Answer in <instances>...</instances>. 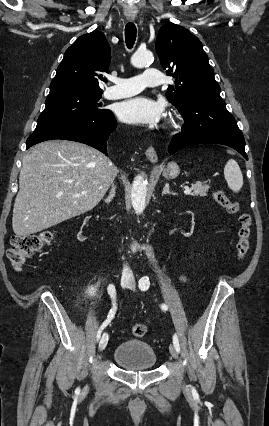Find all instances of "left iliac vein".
<instances>
[{
	"label": "left iliac vein",
	"mask_w": 269,
	"mask_h": 426,
	"mask_svg": "<svg viewBox=\"0 0 269 426\" xmlns=\"http://www.w3.org/2000/svg\"><path fill=\"white\" fill-rule=\"evenodd\" d=\"M129 288H130L131 290H135V289H136V283H135V281H134V280H132V281H131V283H130V285H129ZM169 351H170V354H171V356H172L173 358H175V359H177V358H178L177 350H176V348H175V346H174L173 344H170V345H169Z\"/></svg>",
	"instance_id": "4c4485c4"
}]
</instances>
